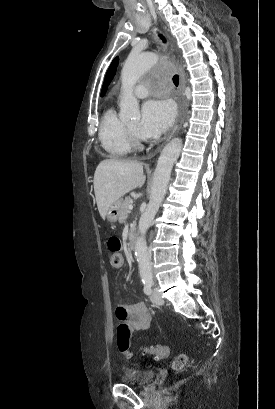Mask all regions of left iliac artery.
Masks as SVG:
<instances>
[{
	"instance_id": "1",
	"label": "left iliac artery",
	"mask_w": 275,
	"mask_h": 409,
	"mask_svg": "<svg viewBox=\"0 0 275 409\" xmlns=\"http://www.w3.org/2000/svg\"><path fill=\"white\" fill-rule=\"evenodd\" d=\"M142 281L144 284V293L150 295L152 292V286L154 284L152 277L149 276L147 278H144Z\"/></svg>"
}]
</instances>
